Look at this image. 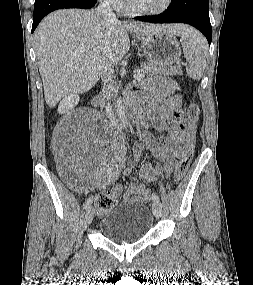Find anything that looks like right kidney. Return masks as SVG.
I'll list each match as a JSON object with an SVG mask.
<instances>
[{
  "instance_id": "obj_1",
  "label": "right kidney",
  "mask_w": 253,
  "mask_h": 285,
  "mask_svg": "<svg viewBox=\"0 0 253 285\" xmlns=\"http://www.w3.org/2000/svg\"><path fill=\"white\" fill-rule=\"evenodd\" d=\"M78 101H79L78 95L70 94V95L66 96L60 102L59 107H58V112L59 113L67 112L68 110L73 108L75 105H77Z\"/></svg>"
}]
</instances>
